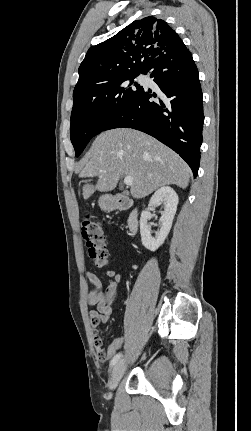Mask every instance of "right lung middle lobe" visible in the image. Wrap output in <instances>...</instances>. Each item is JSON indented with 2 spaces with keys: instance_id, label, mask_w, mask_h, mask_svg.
<instances>
[{
  "instance_id": "obj_1",
  "label": "right lung middle lobe",
  "mask_w": 251,
  "mask_h": 431,
  "mask_svg": "<svg viewBox=\"0 0 251 431\" xmlns=\"http://www.w3.org/2000/svg\"><path fill=\"white\" fill-rule=\"evenodd\" d=\"M144 71L119 77L98 87L73 95L70 138L78 157L91 138L104 131L109 122L140 92L134 78Z\"/></svg>"
}]
</instances>
